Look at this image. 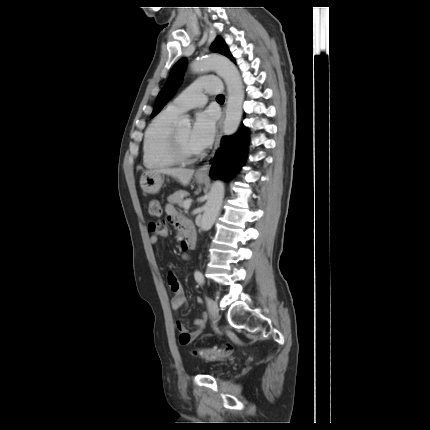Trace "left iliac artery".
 Here are the masks:
<instances>
[{"label": "left iliac artery", "instance_id": "obj_1", "mask_svg": "<svg viewBox=\"0 0 430 430\" xmlns=\"http://www.w3.org/2000/svg\"><path fill=\"white\" fill-rule=\"evenodd\" d=\"M194 276H195V280L199 284H203L204 283V276H203V274L200 271H195Z\"/></svg>", "mask_w": 430, "mask_h": 430}]
</instances>
